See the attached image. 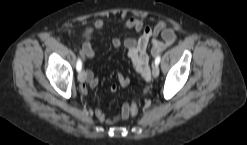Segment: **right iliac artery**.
I'll use <instances>...</instances> for the list:
<instances>
[{"label": "right iliac artery", "instance_id": "right-iliac-artery-1", "mask_svg": "<svg viewBox=\"0 0 247 145\" xmlns=\"http://www.w3.org/2000/svg\"><path fill=\"white\" fill-rule=\"evenodd\" d=\"M76 69H77V71H81V69H82V62H81L80 58H78V60H77Z\"/></svg>", "mask_w": 247, "mask_h": 145}]
</instances>
